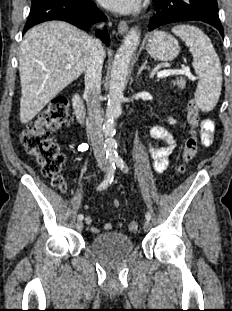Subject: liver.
<instances>
[{
    "instance_id": "liver-1",
    "label": "liver",
    "mask_w": 232,
    "mask_h": 311,
    "mask_svg": "<svg viewBox=\"0 0 232 311\" xmlns=\"http://www.w3.org/2000/svg\"><path fill=\"white\" fill-rule=\"evenodd\" d=\"M88 38L87 33L63 21L37 25L24 35L19 52L22 124L85 72ZM66 65L72 68L66 69Z\"/></svg>"
}]
</instances>
